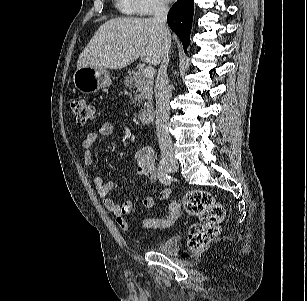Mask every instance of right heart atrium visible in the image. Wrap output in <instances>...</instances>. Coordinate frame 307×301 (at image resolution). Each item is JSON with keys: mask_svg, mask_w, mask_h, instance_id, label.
Returning a JSON list of instances; mask_svg holds the SVG:
<instances>
[{"mask_svg": "<svg viewBox=\"0 0 307 301\" xmlns=\"http://www.w3.org/2000/svg\"><path fill=\"white\" fill-rule=\"evenodd\" d=\"M168 0H123L126 10L131 13L149 16L167 10Z\"/></svg>", "mask_w": 307, "mask_h": 301, "instance_id": "d8ad5b80", "label": "right heart atrium"}]
</instances>
